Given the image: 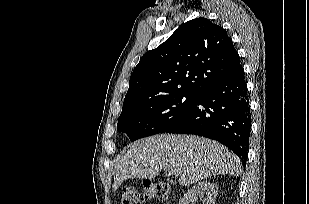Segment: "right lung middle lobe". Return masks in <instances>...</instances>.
<instances>
[{
  "label": "right lung middle lobe",
  "instance_id": "dd1d6c3e",
  "mask_svg": "<svg viewBox=\"0 0 309 204\" xmlns=\"http://www.w3.org/2000/svg\"><path fill=\"white\" fill-rule=\"evenodd\" d=\"M198 94L176 92L123 103L117 130L131 141L164 133L193 107Z\"/></svg>",
  "mask_w": 309,
  "mask_h": 204
}]
</instances>
